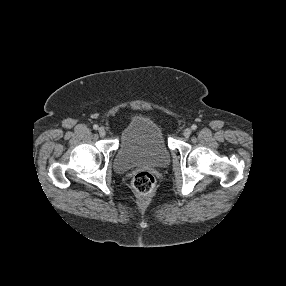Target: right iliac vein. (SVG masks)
Listing matches in <instances>:
<instances>
[{
  "label": "right iliac vein",
  "mask_w": 286,
  "mask_h": 286,
  "mask_svg": "<svg viewBox=\"0 0 286 286\" xmlns=\"http://www.w3.org/2000/svg\"><path fill=\"white\" fill-rule=\"evenodd\" d=\"M98 132H99V135H100L101 137H104V136L106 135V130H105V128H103V127H100L99 130H98Z\"/></svg>",
  "instance_id": "63e3f726"
}]
</instances>
